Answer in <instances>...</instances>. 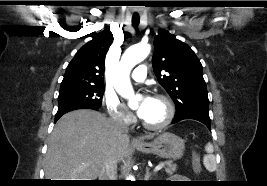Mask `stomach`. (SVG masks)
<instances>
[{
  "label": "stomach",
  "instance_id": "1",
  "mask_svg": "<svg viewBox=\"0 0 267 186\" xmlns=\"http://www.w3.org/2000/svg\"><path fill=\"white\" fill-rule=\"evenodd\" d=\"M137 150L146 154H155L165 159H179L185 149L184 141L177 135L164 132L157 135L151 142L136 144Z\"/></svg>",
  "mask_w": 267,
  "mask_h": 186
}]
</instances>
